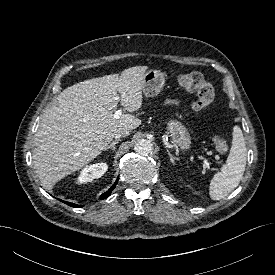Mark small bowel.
<instances>
[{
  "label": "small bowel",
  "mask_w": 275,
  "mask_h": 275,
  "mask_svg": "<svg viewBox=\"0 0 275 275\" xmlns=\"http://www.w3.org/2000/svg\"><path fill=\"white\" fill-rule=\"evenodd\" d=\"M166 102L167 104H177V101L172 99H168Z\"/></svg>",
  "instance_id": "c3829d8e"
}]
</instances>
